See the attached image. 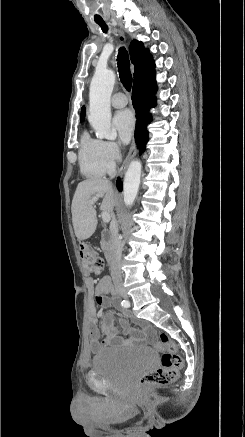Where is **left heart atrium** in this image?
I'll return each instance as SVG.
<instances>
[{"label": "left heart atrium", "mask_w": 245, "mask_h": 437, "mask_svg": "<svg viewBox=\"0 0 245 437\" xmlns=\"http://www.w3.org/2000/svg\"><path fill=\"white\" fill-rule=\"evenodd\" d=\"M112 123L120 140L124 143H128L135 128V117L133 113L128 109L121 110L114 115Z\"/></svg>", "instance_id": "left-heart-atrium-1"}]
</instances>
